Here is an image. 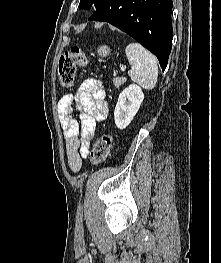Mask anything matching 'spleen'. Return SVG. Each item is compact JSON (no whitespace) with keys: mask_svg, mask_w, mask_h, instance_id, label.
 <instances>
[{"mask_svg":"<svg viewBox=\"0 0 221 263\" xmlns=\"http://www.w3.org/2000/svg\"><path fill=\"white\" fill-rule=\"evenodd\" d=\"M125 53L131 64V70L128 71L131 80L144 89H153L158 77L156 57L139 43L127 45Z\"/></svg>","mask_w":221,"mask_h":263,"instance_id":"obj_1","label":"spleen"}]
</instances>
